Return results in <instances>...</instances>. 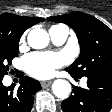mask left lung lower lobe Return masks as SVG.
Segmentation results:
<instances>
[{"mask_svg":"<svg viewBox=\"0 0 112 112\" xmlns=\"http://www.w3.org/2000/svg\"><path fill=\"white\" fill-rule=\"evenodd\" d=\"M86 77L87 89L74 86L73 95L61 103L63 112H109L111 110L112 73H99Z\"/></svg>","mask_w":112,"mask_h":112,"instance_id":"0a47b994","label":"left lung lower lobe"}]
</instances>
